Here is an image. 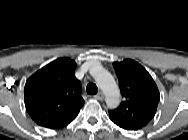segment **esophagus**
I'll use <instances>...</instances> for the list:
<instances>
[{
    "instance_id": "esophagus-1",
    "label": "esophagus",
    "mask_w": 188,
    "mask_h": 140,
    "mask_svg": "<svg viewBox=\"0 0 188 140\" xmlns=\"http://www.w3.org/2000/svg\"><path fill=\"white\" fill-rule=\"evenodd\" d=\"M97 100L102 101L104 99V95L102 92L98 93L97 95L94 96Z\"/></svg>"
}]
</instances>
